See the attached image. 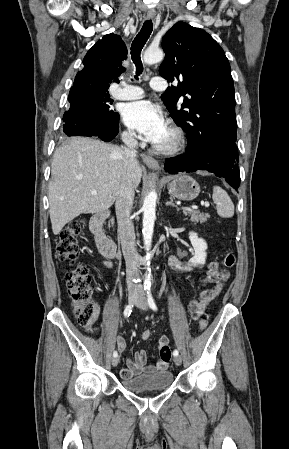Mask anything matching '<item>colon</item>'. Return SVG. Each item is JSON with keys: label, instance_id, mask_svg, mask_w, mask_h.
Here are the masks:
<instances>
[{"label": "colon", "instance_id": "5ec220e1", "mask_svg": "<svg viewBox=\"0 0 289 449\" xmlns=\"http://www.w3.org/2000/svg\"><path fill=\"white\" fill-rule=\"evenodd\" d=\"M83 226V220H74L60 232L56 242V254L61 260L70 263L71 268L66 273L67 291L78 323L86 331L90 332L96 323L98 308L92 298L90 274L82 264L76 262ZM234 264L235 255L232 252H228L224 257L223 265L229 269ZM207 326V318H201L199 320L200 330H205ZM150 336L151 332L149 330H145L142 333L144 340L149 339Z\"/></svg>", "mask_w": 289, "mask_h": 449}]
</instances>
